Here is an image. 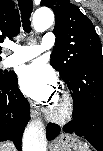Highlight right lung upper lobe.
<instances>
[{
	"label": "right lung upper lobe",
	"mask_w": 103,
	"mask_h": 151,
	"mask_svg": "<svg viewBox=\"0 0 103 151\" xmlns=\"http://www.w3.org/2000/svg\"><path fill=\"white\" fill-rule=\"evenodd\" d=\"M19 31V12L15 9L14 2L11 0H0V43H2L5 38L10 39L18 35Z\"/></svg>",
	"instance_id": "right-lung-upper-lobe-1"
}]
</instances>
